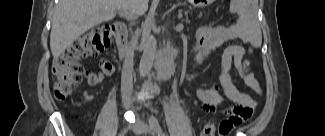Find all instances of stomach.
<instances>
[{
    "label": "stomach",
    "instance_id": "1",
    "mask_svg": "<svg viewBox=\"0 0 325 136\" xmlns=\"http://www.w3.org/2000/svg\"><path fill=\"white\" fill-rule=\"evenodd\" d=\"M213 0H190V2L195 6H205L208 3H211Z\"/></svg>",
    "mask_w": 325,
    "mask_h": 136
}]
</instances>
